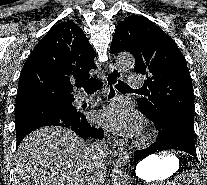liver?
Segmentation results:
<instances>
[{
	"label": "liver",
	"instance_id": "6515ba94",
	"mask_svg": "<svg viewBox=\"0 0 207 185\" xmlns=\"http://www.w3.org/2000/svg\"><path fill=\"white\" fill-rule=\"evenodd\" d=\"M95 155L71 129L41 127L15 153L13 185H87Z\"/></svg>",
	"mask_w": 207,
	"mask_h": 185
}]
</instances>
